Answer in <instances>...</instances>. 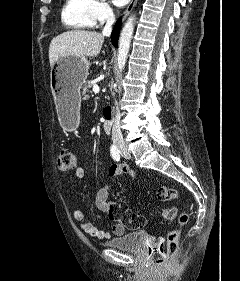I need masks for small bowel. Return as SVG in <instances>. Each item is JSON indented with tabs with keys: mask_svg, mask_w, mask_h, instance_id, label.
<instances>
[{
	"mask_svg": "<svg viewBox=\"0 0 240 281\" xmlns=\"http://www.w3.org/2000/svg\"><path fill=\"white\" fill-rule=\"evenodd\" d=\"M126 174L131 180L136 179V173L132 169H130L126 165H112L109 168L108 175L109 177H117L120 175ZM75 176L77 178H83L85 176V169L82 166H78L75 169ZM111 189V185H106L102 187L96 195L95 204L96 207L104 214H107L109 209V192ZM72 216L76 221L81 222V229L88 234L89 236L96 238V239H106L109 237L110 233L105 230H101L94 226L92 223L87 222L84 220V213L83 211L76 207L72 212ZM112 233L115 235H123L125 232V228L121 224H115L112 227Z\"/></svg>",
	"mask_w": 240,
	"mask_h": 281,
	"instance_id": "c3829d8e",
	"label": "small bowel"
}]
</instances>
